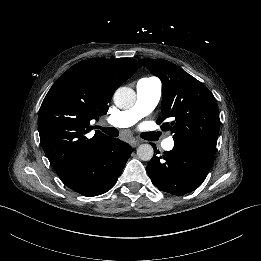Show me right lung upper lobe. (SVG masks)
I'll list each match as a JSON object with an SVG mask.
<instances>
[{"label": "right lung upper lobe", "mask_w": 261, "mask_h": 261, "mask_svg": "<svg viewBox=\"0 0 261 261\" xmlns=\"http://www.w3.org/2000/svg\"><path fill=\"white\" fill-rule=\"evenodd\" d=\"M140 64L132 58L90 59L68 69L41 105L38 130L42 148L55 171L66 170L93 154L108 136L85 135L90 121L106 114L114 91Z\"/></svg>", "instance_id": "1"}]
</instances>
